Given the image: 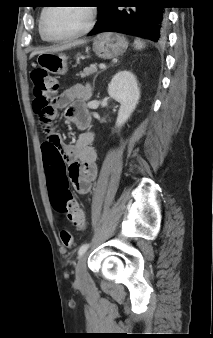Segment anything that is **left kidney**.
<instances>
[{
  "label": "left kidney",
  "mask_w": 213,
  "mask_h": 338,
  "mask_svg": "<svg viewBox=\"0 0 213 338\" xmlns=\"http://www.w3.org/2000/svg\"><path fill=\"white\" fill-rule=\"evenodd\" d=\"M108 94L120 103L116 126L122 127L136 109L140 99L136 76L127 70L119 71L108 85Z\"/></svg>",
  "instance_id": "obj_1"
}]
</instances>
